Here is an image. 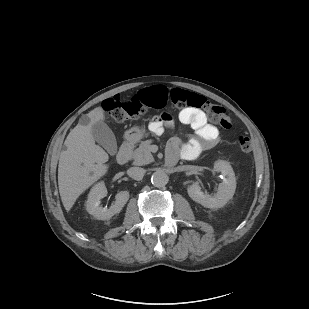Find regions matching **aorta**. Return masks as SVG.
Returning <instances> with one entry per match:
<instances>
[{
	"instance_id": "1",
	"label": "aorta",
	"mask_w": 309,
	"mask_h": 309,
	"mask_svg": "<svg viewBox=\"0 0 309 309\" xmlns=\"http://www.w3.org/2000/svg\"><path fill=\"white\" fill-rule=\"evenodd\" d=\"M168 182V176L166 173L162 172V171H156L152 174L151 177V183L155 186V187H163L167 184Z\"/></svg>"
}]
</instances>
